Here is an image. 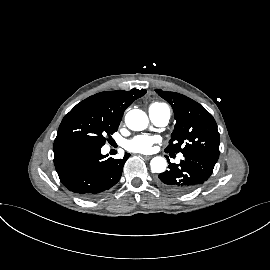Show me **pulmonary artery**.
Returning <instances> with one entry per match:
<instances>
[{
    "mask_svg": "<svg viewBox=\"0 0 270 270\" xmlns=\"http://www.w3.org/2000/svg\"><path fill=\"white\" fill-rule=\"evenodd\" d=\"M149 117L152 122L160 127L167 125L170 119V111L169 110H151L149 109ZM181 158V156H180Z\"/></svg>",
    "mask_w": 270,
    "mask_h": 270,
    "instance_id": "e3ab8cb5",
    "label": "pulmonary artery"
}]
</instances>
